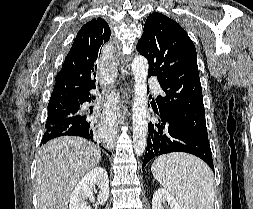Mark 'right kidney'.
Here are the masks:
<instances>
[{"label": "right kidney", "instance_id": "ca27d5eb", "mask_svg": "<svg viewBox=\"0 0 253 209\" xmlns=\"http://www.w3.org/2000/svg\"><path fill=\"white\" fill-rule=\"evenodd\" d=\"M96 186L99 188L97 201L102 204L108 199L109 180L107 172L101 167L92 169L78 182L71 194L69 209H91L86 199H94L93 188Z\"/></svg>", "mask_w": 253, "mask_h": 209}]
</instances>
